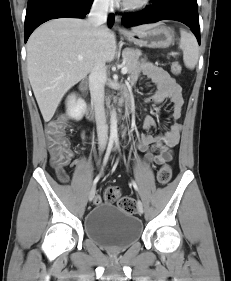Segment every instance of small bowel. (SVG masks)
<instances>
[{
    "label": "small bowel",
    "instance_id": "obj_1",
    "mask_svg": "<svg viewBox=\"0 0 231 281\" xmlns=\"http://www.w3.org/2000/svg\"><path fill=\"white\" fill-rule=\"evenodd\" d=\"M143 78L150 79L156 86L151 100L155 103H161L169 100L172 104V123L163 134H156L154 129L156 122L154 118L147 117L144 121L145 134L141 135L135 144V149L144 153V161L148 165H163L173 159V148L178 144L181 135L180 118L184 99L180 86L176 81L162 68H159L151 62L144 61L141 66L131 75L130 84H134ZM83 141L88 136L82 132ZM71 153L70 165H75L76 161L72 159ZM58 179L66 183L69 181V175L64 167L55 168Z\"/></svg>",
    "mask_w": 231,
    "mask_h": 281
}]
</instances>
